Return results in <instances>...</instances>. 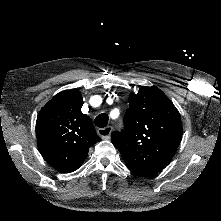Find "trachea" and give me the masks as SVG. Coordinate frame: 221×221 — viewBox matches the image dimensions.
I'll list each match as a JSON object with an SVG mask.
<instances>
[{
    "mask_svg": "<svg viewBox=\"0 0 221 221\" xmlns=\"http://www.w3.org/2000/svg\"><path fill=\"white\" fill-rule=\"evenodd\" d=\"M108 115L106 113L99 114L94 121V124L99 128H105L108 124Z\"/></svg>",
    "mask_w": 221,
    "mask_h": 221,
    "instance_id": "obj_1",
    "label": "trachea"
}]
</instances>
